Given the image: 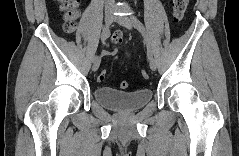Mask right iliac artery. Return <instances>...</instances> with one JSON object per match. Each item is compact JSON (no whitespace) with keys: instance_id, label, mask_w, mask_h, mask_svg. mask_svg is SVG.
Instances as JSON below:
<instances>
[{"instance_id":"82829eb1","label":"right iliac artery","mask_w":239,"mask_h":156,"mask_svg":"<svg viewBox=\"0 0 239 156\" xmlns=\"http://www.w3.org/2000/svg\"><path fill=\"white\" fill-rule=\"evenodd\" d=\"M109 35H110V30H109V28L105 27L101 34V41L104 43L106 41V39L109 37ZM98 58L99 57L97 55H95L93 58V61H95Z\"/></svg>"}]
</instances>
